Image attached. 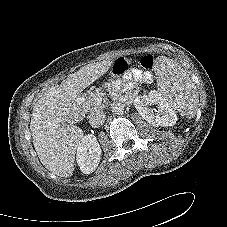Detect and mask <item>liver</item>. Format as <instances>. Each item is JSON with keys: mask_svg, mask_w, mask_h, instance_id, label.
Segmentation results:
<instances>
[{"mask_svg": "<svg viewBox=\"0 0 227 227\" xmlns=\"http://www.w3.org/2000/svg\"><path fill=\"white\" fill-rule=\"evenodd\" d=\"M112 64L108 59L85 65L60 85L51 86L34 104L30 123L33 145L40 162L53 174L65 178L73 174L83 131L66 122L70 121L79 93L103 76Z\"/></svg>", "mask_w": 227, "mask_h": 227, "instance_id": "liver-1", "label": "liver"}]
</instances>
